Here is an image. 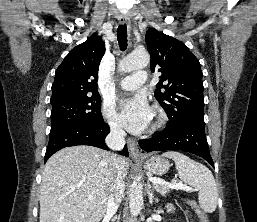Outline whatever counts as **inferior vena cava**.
Returning <instances> with one entry per match:
<instances>
[{"mask_svg": "<svg viewBox=\"0 0 257 222\" xmlns=\"http://www.w3.org/2000/svg\"><path fill=\"white\" fill-rule=\"evenodd\" d=\"M125 131L117 123L110 125V133L105 142L112 150H122L125 145ZM109 161V171L111 178V189L107 203V213L114 215L121 203L124 194L125 184L118 166L116 154L107 153Z\"/></svg>", "mask_w": 257, "mask_h": 222, "instance_id": "1", "label": "inferior vena cava"}]
</instances>
